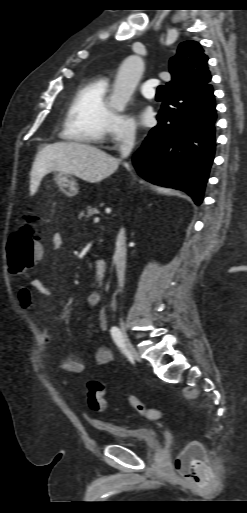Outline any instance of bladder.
Returning <instances> with one entry per match:
<instances>
[{
  "label": "bladder",
  "instance_id": "bladder-1",
  "mask_svg": "<svg viewBox=\"0 0 247 513\" xmlns=\"http://www.w3.org/2000/svg\"><path fill=\"white\" fill-rule=\"evenodd\" d=\"M95 427L110 433L119 443L135 442L143 443L150 448L158 447V439L155 432L148 428H130L109 422H97Z\"/></svg>",
  "mask_w": 247,
  "mask_h": 513
}]
</instances>
